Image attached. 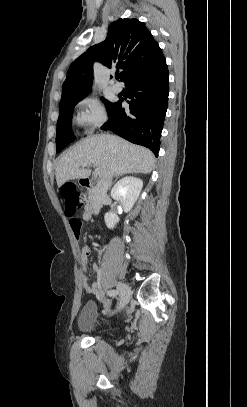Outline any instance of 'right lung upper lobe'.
<instances>
[{"label": "right lung upper lobe", "mask_w": 247, "mask_h": 407, "mask_svg": "<svg viewBox=\"0 0 247 407\" xmlns=\"http://www.w3.org/2000/svg\"><path fill=\"white\" fill-rule=\"evenodd\" d=\"M163 57L162 50L143 22L118 19L110 24L102 43L90 47L71 64L62 86L60 104L83 99L89 94L95 60L108 68L121 69L120 78L124 81L136 69Z\"/></svg>", "instance_id": "right-lung-upper-lobe-1"}]
</instances>
